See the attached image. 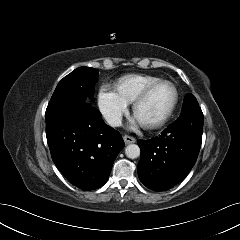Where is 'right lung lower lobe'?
Listing matches in <instances>:
<instances>
[{"mask_svg": "<svg viewBox=\"0 0 240 240\" xmlns=\"http://www.w3.org/2000/svg\"><path fill=\"white\" fill-rule=\"evenodd\" d=\"M45 118L51 156L61 173L82 190L103 186L124 147L120 133L89 103L46 110Z\"/></svg>", "mask_w": 240, "mask_h": 240, "instance_id": "98d812e1", "label": "right lung lower lobe"}]
</instances>
